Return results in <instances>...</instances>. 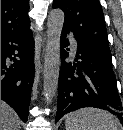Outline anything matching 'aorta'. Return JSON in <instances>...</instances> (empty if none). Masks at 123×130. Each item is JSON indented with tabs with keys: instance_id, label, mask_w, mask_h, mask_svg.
Instances as JSON below:
<instances>
[{
	"instance_id": "obj_1",
	"label": "aorta",
	"mask_w": 123,
	"mask_h": 130,
	"mask_svg": "<svg viewBox=\"0 0 123 130\" xmlns=\"http://www.w3.org/2000/svg\"><path fill=\"white\" fill-rule=\"evenodd\" d=\"M64 19V12L61 9H54L50 12L47 21V46L43 72V95L47 105L52 103L58 87L60 37Z\"/></svg>"
}]
</instances>
